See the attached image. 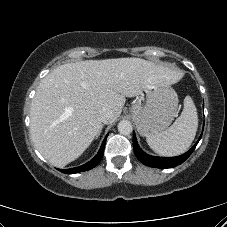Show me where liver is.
I'll use <instances>...</instances> for the list:
<instances>
[{
    "label": "liver",
    "mask_w": 227,
    "mask_h": 227,
    "mask_svg": "<svg viewBox=\"0 0 227 227\" xmlns=\"http://www.w3.org/2000/svg\"><path fill=\"white\" fill-rule=\"evenodd\" d=\"M181 75L140 58L86 60L63 64L39 84L30 109L35 147L52 165L76 160L102 130L101 111L121 114L126 97L157 84L171 85Z\"/></svg>",
    "instance_id": "1"
}]
</instances>
